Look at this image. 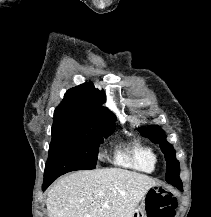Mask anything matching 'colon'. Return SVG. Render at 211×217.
Instances as JSON below:
<instances>
[{"mask_svg":"<svg viewBox=\"0 0 211 217\" xmlns=\"http://www.w3.org/2000/svg\"><path fill=\"white\" fill-rule=\"evenodd\" d=\"M177 199L161 188L152 189L147 198V217H174Z\"/></svg>","mask_w":211,"mask_h":217,"instance_id":"obj_1","label":"colon"}]
</instances>
